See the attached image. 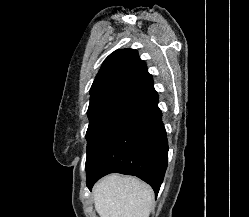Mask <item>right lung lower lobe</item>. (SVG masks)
Segmentation results:
<instances>
[{
    "label": "right lung lower lobe",
    "mask_w": 249,
    "mask_h": 217,
    "mask_svg": "<svg viewBox=\"0 0 249 217\" xmlns=\"http://www.w3.org/2000/svg\"><path fill=\"white\" fill-rule=\"evenodd\" d=\"M148 74L105 112L87 146V187L109 173L139 177L157 196L168 160V142Z\"/></svg>",
    "instance_id": "98d812e1"
}]
</instances>
